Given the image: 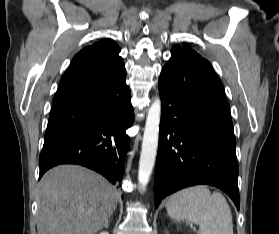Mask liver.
<instances>
[{"label":"liver","mask_w":279,"mask_h":234,"mask_svg":"<svg viewBox=\"0 0 279 234\" xmlns=\"http://www.w3.org/2000/svg\"><path fill=\"white\" fill-rule=\"evenodd\" d=\"M38 234H94L115 210L119 192L101 175L60 165L40 181Z\"/></svg>","instance_id":"6515ba94"}]
</instances>
